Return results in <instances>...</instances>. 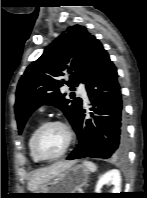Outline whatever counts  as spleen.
<instances>
[{
	"instance_id": "spleen-1",
	"label": "spleen",
	"mask_w": 147,
	"mask_h": 198,
	"mask_svg": "<svg viewBox=\"0 0 147 198\" xmlns=\"http://www.w3.org/2000/svg\"><path fill=\"white\" fill-rule=\"evenodd\" d=\"M83 165H85L91 172H95L97 170L96 164L91 161H84Z\"/></svg>"
}]
</instances>
